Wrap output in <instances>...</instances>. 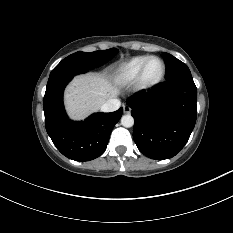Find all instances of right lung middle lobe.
<instances>
[{"label": "right lung middle lobe", "mask_w": 233, "mask_h": 233, "mask_svg": "<svg viewBox=\"0 0 233 233\" xmlns=\"http://www.w3.org/2000/svg\"><path fill=\"white\" fill-rule=\"evenodd\" d=\"M118 50L111 48L108 50L95 51V52H76L63 59L51 72H64V71H86L97 68L110 59H112Z\"/></svg>", "instance_id": "dd1d6c3e"}]
</instances>
